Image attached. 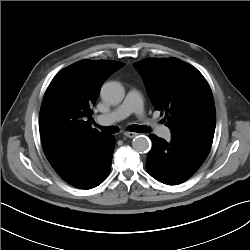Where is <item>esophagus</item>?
Segmentation results:
<instances>
[{"mask_svg":"<svg viewBox=\"0 0 250 250\" xmlns=\"http://www.w3.org/2000/svg\"><path fill=\"white\" fill-rule=\"evenodd\" d=\"M124 135L128 138H134L135 136H137V133L134 132H125Z\"/></svg>","mask_w":250,"mask_h":250,"instance_id":"esophagus-1","label":"esophagus"}]
</instances>
